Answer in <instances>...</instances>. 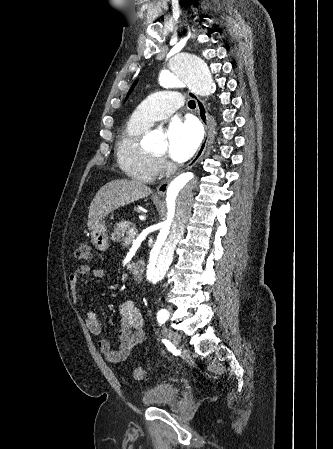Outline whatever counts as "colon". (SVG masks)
Wrapping results in <instances>:
<instances>
[{"instance_id": "5ec220e1", "label": "colon", "mask_w": 333, "mask_h": 449, "mask_svg": "<svg viewBox=\"0 0 333 449\" xmlns=\"http://www.w3.org/2000/svg\"><path fill=\"white\" fill-rule=\"evenodd\" d=\"M91 254V247L87 241H81L76 249V257L82 260L89 259ZM133 375L136 380H143L145 378V371L141 367L133 370Z\"/></svg>"}]
</instances>
